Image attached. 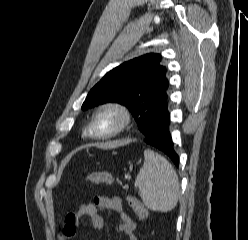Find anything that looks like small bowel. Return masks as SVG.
<instances>
[{"label": "small bowel", "mask_w": 248, "mask_h": 240, "mask_svg": "<svg viewBox=\"0 0 248 240\" xmlns=\"http://www.w3.org/2000/svg\"><path fill=\"white\" fill-rule=\"evenodd\" d=\"M111 210L115 212L120 223L117 225V231L128 237L129 240H137L134 230L135 222L126 213L122 201L118 197L105 198L99 196L93 203L82 204L76 211L66 215L63 226L59 231V240H69L76 236L78 227L84 218H89L93 228L100 230L103 228V220L99 213L101 211Z\"/></svg>", "instance_id": "c3829d8e"}]
</instances>
